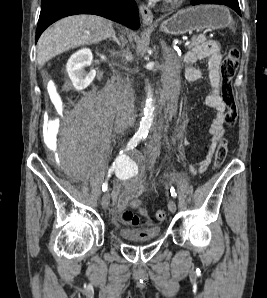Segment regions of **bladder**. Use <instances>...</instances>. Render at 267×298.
Wrapping results in <instances>:
<instances>
[{
	"label": "bladder",
	"mask_w": 267,
	"mask_h": 298,
	"mask_svg": "<svg viewBox=\"0 0 267 298\" xmlns=\"http://www.w3.org/2000/svg\"><path fill=\"white\" fill-rule=\"evenodd\" d=\"M119 236L128 242L144 243L155 240L160 234V228L154 227L148 235H141L138 231L129 228H119Z\"/></svg>",
	"instance_id": "31cf9c89"
}]
</instances>
